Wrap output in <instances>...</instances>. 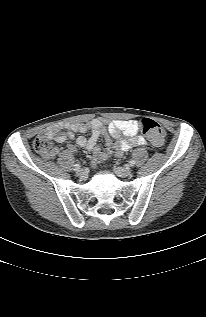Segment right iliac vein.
<instances>
[{"instance_id":"1","label":"right iliac vein","mask_w":206,"mask_h":317,"mask_svg":"<svg viewBox=\"0 0 206 317\" xmlns=\"http://www.w3.org/2000/svg\"><path fill=\"white\" fill-rule=\"evenodd\" d=\"M77 176L79 177H86V173L84 172V170L79 169L76 171Z\"/></svg>"}]
</instances>
